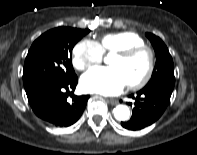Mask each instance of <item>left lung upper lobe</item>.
<instances>
[{"instance_id":"1","label":"left lung upper lobe","mask_w":197,"mask_h":155,"mask_svg":"<svg viewBox=\"0 0 197 155\" xmlns=\"http://www.w3.org/2000/svg\"><path fill=\"white\" fill-rule=\"evenodd\" d=\"M156 54V65L152 77L143 89H161L172 93L174 89V65L172 57L164 42L152 33H146Z\"/></svg>"}]
</instances>
